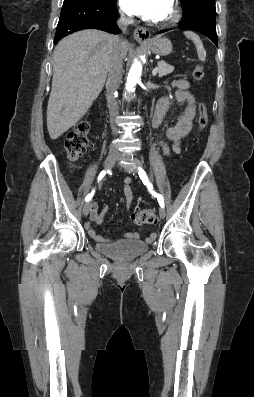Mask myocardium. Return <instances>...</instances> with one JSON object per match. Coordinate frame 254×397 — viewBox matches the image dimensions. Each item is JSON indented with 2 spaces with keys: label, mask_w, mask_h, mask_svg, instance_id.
<instances>
[{
  "label": "myocardium",
  "mask_w": 254,
  "mask_h": 397,
  "mask_svg": "<svg viewBox=\"0 0 254 397\" xmlns=\"http://www.w3.org/2000/svg\"><path fill=\"white\" fill-rule=\"evenodd\" d=\"M171 4H172L171 5L172 11H171L170 16L167 17L166 19L158 22V25L161 27L172 26V25L176 24L181 18V10H180L179 6L174 1H172Z\"/></svg>",
  "instance_id": "1"
}]
</instances>
